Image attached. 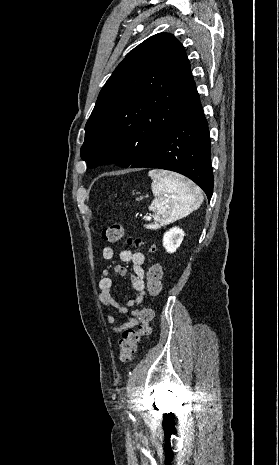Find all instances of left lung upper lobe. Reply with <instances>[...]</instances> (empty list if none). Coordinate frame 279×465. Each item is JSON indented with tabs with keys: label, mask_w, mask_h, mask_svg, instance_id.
<instances>
[{
	"label": "left lung upper lobe",
	"mask_w": 279,
	"mask_h": 465,
	"mask_svg": "<svg viewBox=\"0 0 279 465\" xmlns=\"http://www.w3.org/2000/svg\"><path fill=\"white\" fill-rule=\"evenodd\" d=\"M194 85L183 45L169 33L149 37L100 91L86 123L81 158L90 168L131 166L178 118Z\"/></svg>",
	"instance_id": "5c2ea615"
}]
</instances>
